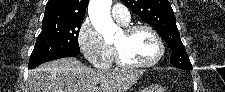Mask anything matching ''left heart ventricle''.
I'll list each match as a JSON object with an SVG mask.
<instances>
[{
	"mask_svg": "<svg viewBox=\"0 0 225 92\" xmlns=\"http://www.w3.org/2000/svg\"><path fill=\"white\" fill-rule=\"evenodd\" d=\"M114 45L130 62L146 63L153 60L158 53L157 42L147 30H138L131 35L122 32Z\"/></svg>",
	"mask_w": 225,
	"mask_h": 92,
	"instance_id": "1",
	"label": "left heart ventricle"
}]
</instances>
